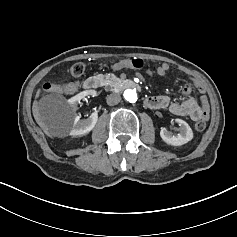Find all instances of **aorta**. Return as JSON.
Instances as JSON below:
<instances>
[{"label": "aorta", "instance_id": "762f6f07", "mask_svg": "<svg viewBox=\"0 0 237 237\" xmlns=\"http://www.w3.org/2000/svg\"><path fill=\"white\" fill-rule=\"evenodd\" d=\"M124 98L130 103H135L137 101V93L133 89H126L123 94Z\"/></svg>", "mask_w": 237, "mask_h": 237}]
</instances>
